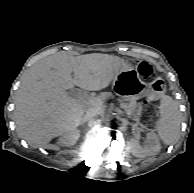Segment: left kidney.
Wrapping results in <instances>:
<instances>
[{
    "instance_id": "5707ae66",
    "label": "left kidney",
    "mask_w": 194,
    "mask_h": 193,
    "mask_svg": "<svg viewBox=\"0 0 194 193\" xmlns=\"http://www.w3.org/2000/svg\"><path fill=\"white\" fill-rule=\"evenodd\" d=\"M128 145L131 153L134 156L141 158L157 155L161 150L159 138L153 132L147 134V140L144 147L139 144L137 139H131Z\"/></svg>"
}]
</instances>
